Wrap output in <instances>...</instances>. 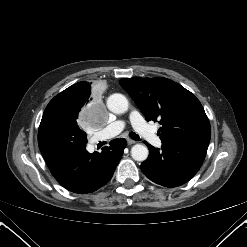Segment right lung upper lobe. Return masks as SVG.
Listing matches in <instances>:
<instances>
[{"label": "right lung upper lobe", "instance_id": "cb5924a9", "mask_svg": "<svg viewBox=\"0 0 247 247\" xmlns=\"http://www.w3.org/2000/svg\"><path fill=\"white\" fill-rule=\"evenodd\" d=\"M64 91L71 92L78 98L87 99L91 95V86L88 82H79Z\"/></svg>", "mask_w": 247, "mask_h": 247}]
</instances>
